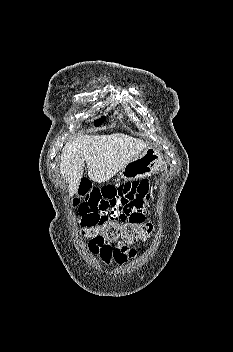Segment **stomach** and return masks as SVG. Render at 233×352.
<instances>
[{"label":"stomach","mask_w":233,"mask_h":352,"mask_svg":"<svg viewBox=\"0 0 233 352\" xmlns=\"http://www.w3.org/2000/svg\"><path fill=\"white\" fill-rule=\"evenodd\" d=\"M163 164L162 155L156 149L149 147L127 163L119 171V175L126 181H134L159 172Z\"/></svg>","instance_id":"stomach-1"}]
</instances>
